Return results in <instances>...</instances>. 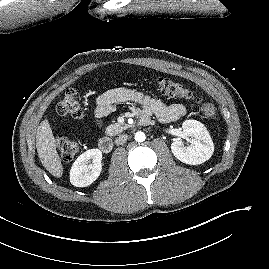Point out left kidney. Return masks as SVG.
<instances>
[{"label": "left kidney", "instance_id": "5707ae66", "mask_svg": "<svg viewBox=\"0 0 269 269\" xmlns=\"http://www.w3.org/2000/svg\"><path fill=\"white\" fill-rule=\"evenodd\" d=\"M181 134L184 138L192 137V139L188 146L180 140H175L171 144V151L178 160L189 165H199L210 159L214 145L208 130L201 122L184 121Z\"/></svg>", "mask_w": 269, "mask_h": 269}]
</instances>
